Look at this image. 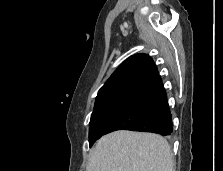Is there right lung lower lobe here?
<instances>
[{
	"label": "right lung lower lobe",
	"mask_w": 223,
	"mask_h": 171,
	"mask_svg": "<svg viewBox=\"0 0 223 171\" xmlns=\"http://www.w3.org/2000/svg\"><path fill=\"white\" fill-rule=\"evenodd\" d=\"M122 129L161 135L172 133V117L162 82L137 96L104 128L102 136Z\"/></svg>",
	"instance_id": "98d812e1"
}]
</instances>
